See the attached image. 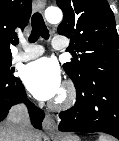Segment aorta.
I'll return each mask as SVG.
<instances>
[{"label": "aorta", "instance_id": "aorta-1", "mask_svg": "<svg viewBox=\"0 0 119 141\" xmlns=\"http://www.w3.org/2000/svg\"><path fill=\"white\" fill-rule=\"evenodd\" d=\"M45 17L49 23L57 24L61 22L63 15L59 8L50 7L45 11Z\"/></svg>", "mask_w": 119, "mask_h": 141}]
</instances>
